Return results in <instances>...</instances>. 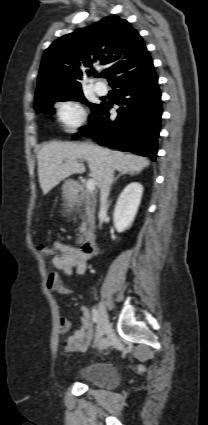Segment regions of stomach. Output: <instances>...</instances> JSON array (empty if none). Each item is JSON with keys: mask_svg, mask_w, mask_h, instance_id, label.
<instances>
[{"mask_svg": "<svg viewBox=\"0 0 208 425\" xmlns=\"http://www.w3.org/2000/svg\"><path fill=\"white\" fill-rule=\"evenodd\" d=\"M77 192V183L72 180H66L63 184V196L66 201H71L75 198Z\"/></svg>", "mask_w": 208, "mask_h": 425, "instance_id": "stomach-1", "label": "stomach"}]
</instances>
